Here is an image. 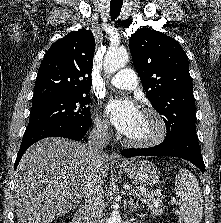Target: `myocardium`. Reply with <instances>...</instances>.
Segmentation results:
<instances>
[{
  "mask_svg": "<svg viewBox=\"0 0 221 223\" xmlns=\"http://www.w3.org/2000/svg\"><path fill=\"white\" fill-rule=\"evenodd\" d=\"M142 114L152 116L157 124V131L149 138L135 140L125 137L124 141L127 145L137 148H150L160 144L166 137L168 126L164 116L154 108H144Z\"/></svg>",
  "mask_w": 221,
  "mask_h": 223,
  "instance_id": "1",
  "label": "myocardium"
}]
</instances>
